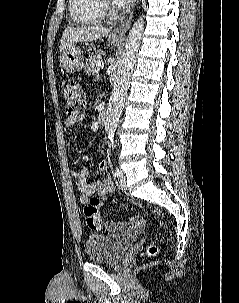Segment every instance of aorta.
<instances>
[{
	"mask_svg": "<svg viewBox=\"0 0 239 303\" xmlns=\"http://www.w3.org/2000/svg\"><path fill=\"white\" fill-rule=\"evenodd\" d=\"M144 32L143 16L134 23L129 31L123 52L118 61L117 76L109 99L106 117L108 139L114 138L121 113L124 108L125 95L130 85L136 53L140 47Z\"/></svg>",
	"mask_w": 239,
	"mask_h": 303,
	"instance_id": "aorta-1",
	"label": "aorta"
}]
</instances>
